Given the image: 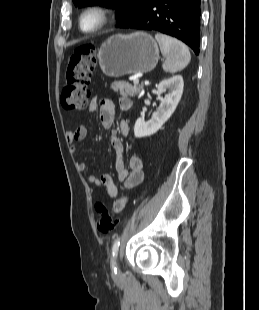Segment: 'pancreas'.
Here are the masks:
<instances>
[{"instance_id": "1", "label": "pancreas", "mask_w": 259, "mask_h": 310, "mask_svg": "<svg viewBox=\"0 0 259 310\" xmlns=\"http://www.w3.org/2000/svg\"><path fill=\"white\" fill-rule=\"evenodd\" d=\"M111 88L120 93L122 97H134L138 93H140L143 89V84L141 85H130L128 82L121 81V82H114L111 84Z\"/></svg>"}]
</instances>
